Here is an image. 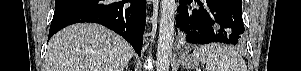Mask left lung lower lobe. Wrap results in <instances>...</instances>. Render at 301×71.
<instances>
[{"mask_svg": "<svg viewBox=\"0 0 301 71\" xmlns=\"http://www.w3.org/2000/svg\"><path fill=\"white\" fill-rule=\"evenodd\" d=\"M193 0H180L177 27L193 44L219 42L240 44L244 39L242 0H195L201 7L191 8Z\"/></svg>", "mask_w": 301, "mask_h": 71, "instance_id": "1", "label": "left lung lower lobe"}]
</instances>
